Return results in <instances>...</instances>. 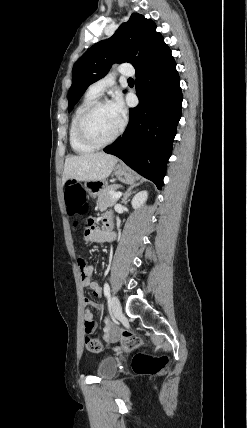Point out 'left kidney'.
Listing matches in <instances>:
<instances>
[{"label": "left kidney", "mask_w": 247, "mask_h": 428, "mask_svg": "<svg viewBox=\"0 0 247 428\" xmlns=\"http://www.w3.org/2000/svg\"><path fill=\"white\" fill-rule=\"evenodd\" d=\"M148 192L147 191H140L138 192L132 199V207L134 209L140 208L145 201L147 200Z\"/></svg>", "instance_id": "obj_1"}]
</instances>
